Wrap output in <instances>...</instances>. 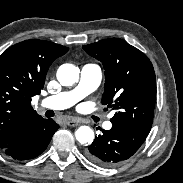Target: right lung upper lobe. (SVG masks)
<instances>
[{"mask_svg": "<svg viewBox=\"0 0 183 183\" xmlns=\"http://www.w3.org/2000/svg\"><path fill=\"white\" fill-rule=\"evenodd\" d=\"M69 49L31 39L15 44L0 56V148L26 121L39 117L31 99L43 89L49 66Z\"/></svg>", "mask_w": 183, "mask_h": 183, "instance_id": "obj_1", "label": "right lung upper lobe"}]
</instances>
